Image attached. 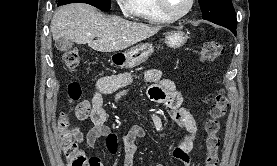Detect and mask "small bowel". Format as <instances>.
<instances>
[{"label":"small bowel","instance_id":"small-bowel-1","mask_svg":"<svg viewBox=\"0 0 277 166\" xmlns=\"http://www.w3.org/2000/svg\"><path fill=\"white\" fill-rule=\"evenodd\" d=\"M144 80L151 86L147 90L148 98L156 103L164 105L169 110L171 119L180 127L182 135L172 149V155L181 161L185 166H190V152L196 140L197 126L192 114L183 107V98L177 90L175 83L162 77L159 69H149L145 72ZM133 77L129 73H121L111 76H103L97 79L91 100H83L76 109L75 115L78 120L90 118L93 127L79 139L83 140L89 148L93 147L96 141L103 137L110 153L116 154L118 151V137L113 133L106 123L107 114L103 107V97L108 94H115L116 102L128 92V87L132 84ZM152 123L157 130L163 128V120L160 115L152 116ZM146 132L143 127L135 125L131 127L121 137L124 147L123 166H133L136 152V140L145 138ZM95 164L93 166H103L97 156L90 158ZM156 166H163L157 164Z\"/></svg>","mask_w":277,"mask_h":166}]
</instances>
